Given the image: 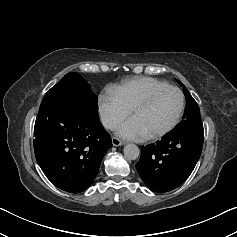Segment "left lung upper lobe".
Returning a JSON list of instances; mask_svg holds the SVG:
<instances>
[{
  "instance_id": "1",
  "label": "left lung upper lobe",
  "mask_w": 237,
  "mask_h": 237,
  "mask_svg": "<svg viewBox=\"0 0 237 237\" xmlns=\"http://www.w3.org/2000/svg\"><path fill=\"white\" fill-rule=\"evenodd\" d=\"M177 82L182 87H184V85L179 80H177ZM183 92L186 97L185 113L183 115V120L179 124H177V126L172 132L169 133L172 135H176L183 132L203 131V124L201 121L198 104L186 89H183Z\"/></svg>"
}]
</instances>
